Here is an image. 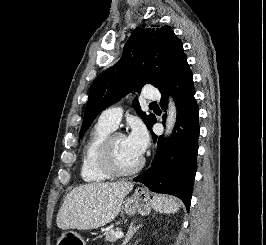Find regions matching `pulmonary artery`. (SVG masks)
Here are the masks:
<instances>
[{
    "label": "pulmonary artery",
    "instance_id": "pulmonary-artery-1",
    "mask_svg": "<svg viewBox=\"0 0 266 245\" xmlns=\"http://www.w3.org/2000/svg\"><path fill=\"white\" fill-rule=\"evenodd\" d=\"M154 87L153 86H145V91L147 96H142L141 100L142 101H158V91H153ZM123 110L119 107H111L106 110H104L99 118L98 121L106 123L110 125L111 127L115 128L122 116Z\"/></svg>",
    "mask_w": 266,
    "mask_h": 245
}]
</instances>
